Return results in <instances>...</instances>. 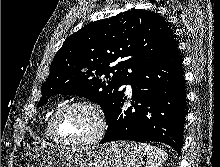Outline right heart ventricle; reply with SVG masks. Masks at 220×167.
Segmentation results:
<instances>
[{
	"label": "right heart ventricle",
	"mask_w": 220,
	"mask_h": 167,
	"mask_svg": "<svg viewBox=\"0 0 220 167\" xmlns=\"http://www.w3.org/2000/svg\"><path fill=\"white\" fill-rule=\"evenodd\" d=\"M49 122H50V119L48 120L47 125H46L45 135L47 138L52 139V137L50 135V131H49Z\"/></svg>",
	"instance_id": "e07e8e85"
}]
</instances>
